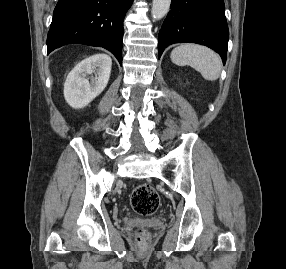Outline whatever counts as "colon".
<instances>
[{"instance_id":"5ec220e1","label":"colon","mask_w":286,"mask_h":269,"mask_svg":"<svg viewBox=\"0 0 286 269\" xmlns=\"http://www.w3.org/2000/svg\"><path fill=\"white\" fill-rule=\"evenodd\" d=\"M133 210L140 215H151L160 206V198L156 191L148 184L138 185L130 198ZM149 234L145 229H138L136 240L140 245L148 242Z\"/></svg>"}]
</instances>
